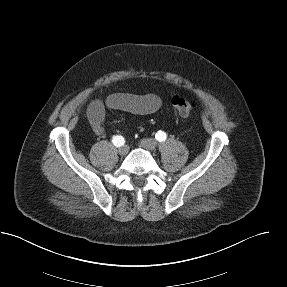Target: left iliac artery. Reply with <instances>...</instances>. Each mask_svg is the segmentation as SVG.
I'll return each instance as SVG.
<instances>
[{"label": "left iliac artery", "instance_id": "left-iliac-artery-1", "mask_svg": "<svg viewBox=\"0 0 287 287\" xmlns=\"http://www.w3.org/2000/svg\"><path fill=\"white\" fill-rule=\"evenodd\" d=\"M155 138L159 141V142H163L166 140L167 135L164 131H158L155 135Z\"/></svg>", "mask_w": 287, "mask_h": 287}]
</instances>
